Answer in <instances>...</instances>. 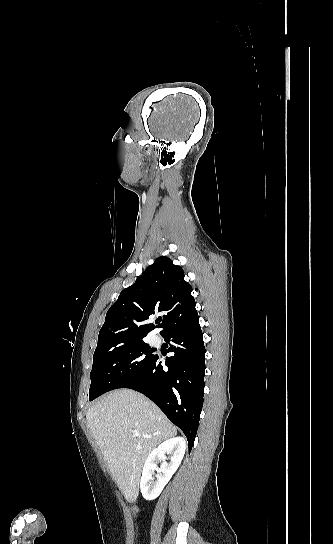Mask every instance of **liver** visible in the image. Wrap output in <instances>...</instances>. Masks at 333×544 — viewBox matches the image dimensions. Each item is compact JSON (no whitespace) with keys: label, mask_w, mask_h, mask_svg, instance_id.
Here are the masks:
<instances>
[{"label":"liver","mask_w":333,"mask_h":544,"mask_svg":"<svg viewBox=\"0 0 333 544\" xmlns=\"http://www.w3.org/2000/svg\"><path fill=\"white\" fill-rule=\"evenodd\" d=\"M86 419L115 483L126 500L134 502L144 461L159 443L176 436V428L155 404L129 389L102 397ZM134 430L141 436H134Z\"/></svg>","instance_id":"liver-1"}]
</instances>
